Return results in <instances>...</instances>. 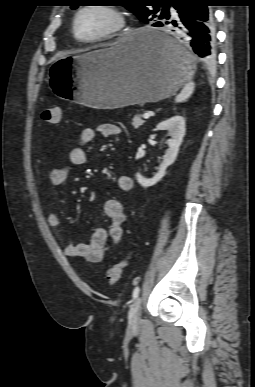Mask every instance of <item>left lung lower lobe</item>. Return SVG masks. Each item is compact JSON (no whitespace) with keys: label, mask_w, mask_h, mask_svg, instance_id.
Segmentation results:
<instances>
[{"label":"left lung lower lobe","mask_w":255,"mask_h":387,"mask_svg":"<svg viewBox=\"0 0 255 387\" xmlns=\"http://www.w3.org/2000/svg\"><path fill=\"white\" fill-rule=\"evenodd\" d=\"M213 3V0H175L170 3L169 8L171 7L172 16H176V19L173 20L168 9L152 26L169 29L172 24L178 27L177 34L189 43L192 51L206 64H213L216 58L213 13L210 8ZM142 39L166 58L182 57L178 46L162 32H148Z\"/></svg>","instance_id":"obj_1"}]
</instances>
